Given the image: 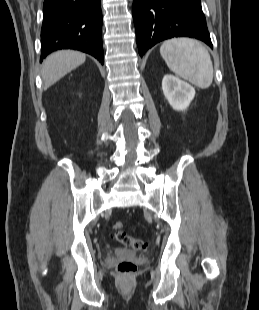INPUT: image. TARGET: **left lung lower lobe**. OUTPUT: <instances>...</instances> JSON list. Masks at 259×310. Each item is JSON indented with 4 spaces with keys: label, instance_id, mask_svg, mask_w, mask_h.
<instances>
[{
    "label": "left lung lower lobe",
    "instance_id": "0a47b994",
    "mask_svg": "<svg viewBox=\"0 0 259 310\" xmlns=\"http://www.w3.org/2000/svg\"><path fill=\"white\" fill-rule=\"evenodd\" d=\"M132 13L140 56L172 37L196 38L212 48L200 0H134Z\"/></svg>",
    "mask_w": 259,
    "mask_h": 310
}]
</instances>
